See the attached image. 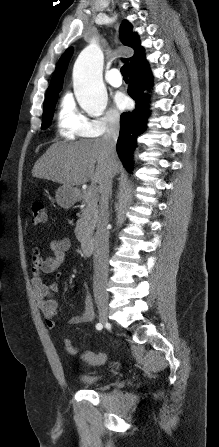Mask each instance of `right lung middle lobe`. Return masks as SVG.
Instances as JSON below:
<instances>
[{
  "mask_svg": "<svg viewBox=\"0 0 219 447\" xmlns=\"http://www.w3.org/2000/svg\"><path fill=\"white\" fill-rule=\"evenodd\" d=\"M58 98V94L52 95L45 99L44 110L42 116V129H46L50 123L54 112V107Z\"/></svg>",
  "mask_w": 219,
  "mask_h": 447,
  "instance_id": "dd1d6c3e",
  "label": "right lung middle lobe"
}]
</instances>
